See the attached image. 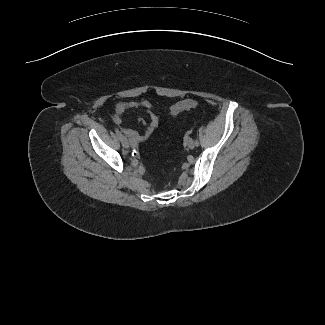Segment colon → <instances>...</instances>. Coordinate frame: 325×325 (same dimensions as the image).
I'll use <instances>...</instances> for the list:
<instances>
[{"label": "colon", "instance_id": "1", "mask_svg": "<svg viewBox=\"0 0 325 325\" xmlns=\"http://www.w3.org/2000/svg\"><path fill=\"white\" fill-rule=\"evenodd\" d=\"M198 105V102L192 99H185L180 102H177L171 107L170 113L172 116L178 115L184 110L195 108Z\"/></svg>", "mask_w": 325, "mask_h": 325}]
</instances>
